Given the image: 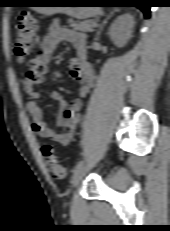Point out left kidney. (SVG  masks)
Segmentation results:
<instances>
[{
	"label": "left kidney",
	"mask_w": 170,
	"mask_h": 231,
	"mask_svg": "<svg viewBox=\"0 0 170 231\" xmlns=\"http://www.w3.org/2000/svg\"><path fill=\"white\" fill-rule=\"evenodd\" d=\"M133 17L129 14L119 16L111 25L109 36L118 47H123L132 35Z\"/></svg>",
	"instance_id": "1"
}]
</instances>
